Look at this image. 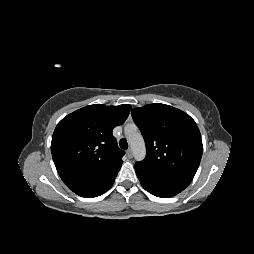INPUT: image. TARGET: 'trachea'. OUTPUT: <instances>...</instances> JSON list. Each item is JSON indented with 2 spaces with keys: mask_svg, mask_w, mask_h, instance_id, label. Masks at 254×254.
Listing matches in <instances>:
<instances>
[{
  "mask_svg": "<svg viewBox=\"0 0 254 254\" xmlns=\"http://www.w3.org/2000/svg\"><path fill=\"white\" fill-rule=\"evenodd\" d=\"M119 145L122 149L126 150L128 148V143L125 138H122L119 142Z\"/></svg>",
  "mask_w": 254,
  "mask_h": 254,
  "instance_id": "trachea-1",
  "label": "trachea"
}]
</instances>
